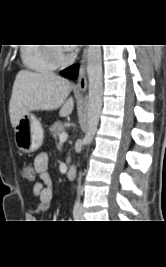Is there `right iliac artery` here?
Masks as SVG:
<instances>
[{
  "mask_svg": "<svg viewBox=\"0 0 166 267\" xmlns=\"http://www.w3.org/2000/svg\"><path fill=\"white\" fill-rule=\"evenodd\" d=\"M73 218L75 221H79V219H80V205L79 204L74 205Z\"/></svg>",
  "mask_w": 166,
  "mask_h": 267,
  "instance_id": "obj_1",
  "label": "right iliac artery"
}]
</instances>
